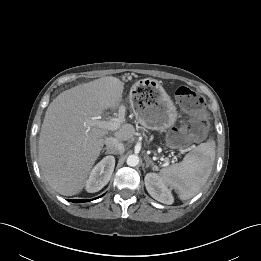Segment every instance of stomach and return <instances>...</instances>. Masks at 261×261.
Listing matches in <instances>:
<instances>
[{
	"label": "stomach",
	"mask_w": 261,
	"mask_h": 261,
	"mask_svg": "<svg viewBox=\"0 0 261 261\" xmlns=\"http://www.w3.org/2000/svg\"><path fill=\"white\" fill-rule=\"evenodd\" d=\"M146 87L145 95L133 100L136 118L144 128L164 132L176 122V107L158 81L149 80Z\"/></svg>",
	"instance_id": "obj_1"
}]
</instances>
